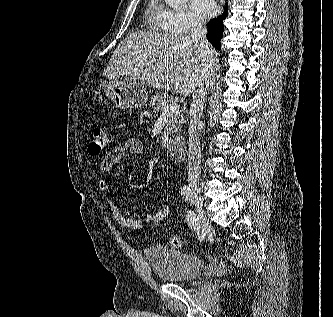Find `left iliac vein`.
<instances>
[{
	"label": "left iliac vein",
	"mask_w": 333,
	"mask_h": 317,
	"mask_svg": "<svg viewBox=\"0 0 333 317\" xmlns=\"http://www.w3.org/2000/svg\"><path fill=\"white\" fill-rule=\"evenodd\" d=\"M190 201L193 203L192 199L190 198Z\"/></svg>",
	"instance_id": "left-iliac-vein-1"
}]
</instances>
